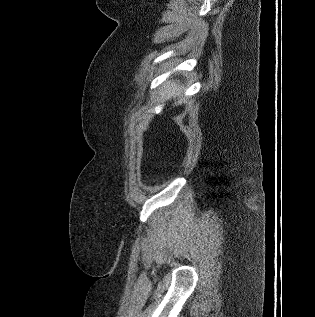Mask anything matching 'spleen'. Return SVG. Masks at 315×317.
I'll use <instances>...</instances> for the list:
<instances>
[{
  "mask_svg": "<svg viewBox=\"0 0 315 317\" xmlns=\"http://www.w3.org/2000/svg\"><path fill=\"white\" fill-rule=\"evenodd\" d=\"M182 88L180 87L179 83L168 80L166 81L158 91V97L160 101H166L171 98H175L179 94H181Z\"/></svg>",
  "mask_w": 315,
  "mask_h": 317,
  "instance_id": "3e777b00",
  "label": "spleen"
}]
</instances>
